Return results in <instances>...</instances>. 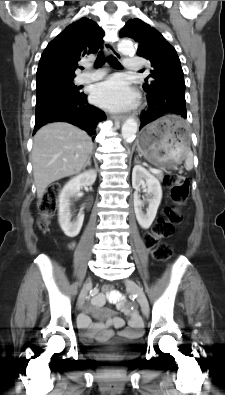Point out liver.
I'll use <instances>...</instances> for the list:
<instances>
[{
  "label": "liver",
  "mask_w": 225,
  "mask_h": 395,
  "mask_svg": "<svg viewBox=\"0 0 225 395\" xmlns=\"http://www.w3.org/2000/svg\"><path fill=\"white\" fill-rule=\"evenodd\" d=\"M92 150L91 137L70 123L54 122L40 128L31 152L37 197L42 198L52 182L79 173Z\"/></svg>",
  "instance_id": "obj_1"
}]
</instances>
